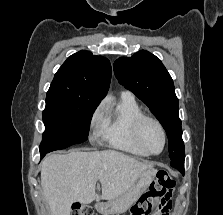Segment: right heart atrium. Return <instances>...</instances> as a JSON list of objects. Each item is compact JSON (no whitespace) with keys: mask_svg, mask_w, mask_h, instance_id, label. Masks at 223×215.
<instances>
[{"mask_svg":"<svg viewBox=\"0 0 223 215\" xmlns=\"http://www.w3.org/2000/svg\"><path fill=\"white\" fill-rule=\"evenodd\" d=\"M104 124V109L102 106H98L91 117L90 126L94 130V132H97Z\"/></svg>","mask_w":223,"mask_h":215,"instance_id":"d8ad5b80","label":"right heart atrium"}]
</instances>
